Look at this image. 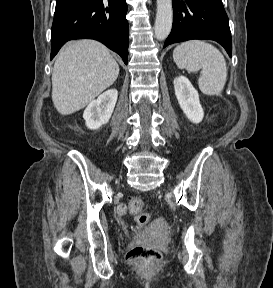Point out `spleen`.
Masks as SVG:
<instances>
[{"label":"spleen","instance_id":"spleen-1","mask_svg":"<svg viewBox=\"0 0 273 288\" xmlns=\"http://www.w3.org/2000/svg\"><path fill=\"white\" fill-rule=\"evenodd\" d=\"M176 65L189 72L201 70L198 85L205 95H218L227 79V66L222 53L213 45L191 40L178 45L173 51Z\"/></svg>","mask_w":273,"mask_h":288}]
</instances>
